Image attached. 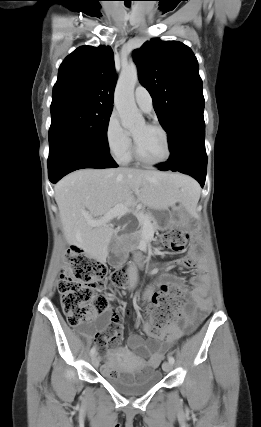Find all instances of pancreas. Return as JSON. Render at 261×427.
Listing matches in <instances>:
<instances>
[{"instance_id": "pancreas-1", "label": "pancreas", "mask_w": 261, "mask_h": 427, "mask_svg": "<svg viewBox=\"0 0 261 427\" xmlns=\"http://www.w3.org/2000/svg\"><path fill=\"white\" fill-rule=\"evenodd\" d=\"M141 213H143L146 216V220L149 222V226H150L151 230L154 232L156 230V226L151 223V221L153 220V217L151 216V214L145 213L144 211H141ZM140 224L143 225L141 222H140ZM142 233H143V227H141L139 229L137 238H140L142 236Z\"/></svg>"}]
</instances>
